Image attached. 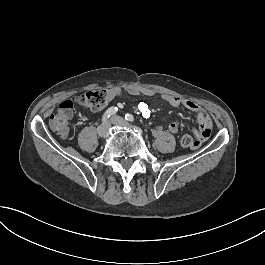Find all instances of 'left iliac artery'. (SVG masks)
Returning a JSON list of instances; mask_svg holds the SVG:
<instances>
[{"label": "left iliac artery", "instance_id": "44dca946", "mask_svg": "<svg viewBox=\"0 0 265 265\" xmlns=\"http://www.w3.org/2000/svg\"><path fill=\"white\" fill-rule=\"evenodd\" d=\"M125 119H126L127 121H130V122H133V121H134V117H133V115L128 114V113L125 115Z\"/></svg>", "mask_w": 265, "mask_h": 265}]
</instances>
